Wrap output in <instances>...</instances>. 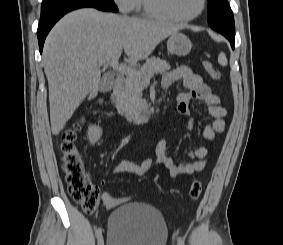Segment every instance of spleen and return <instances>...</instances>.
Here are the masks:
<instances>
[{"mask_svg":"<svg viewBox=\"0 0 283 245\" xmlns=\"http://www.w3.org/2000/svg\"><path fill=\"white\" fill-rule=\"evenodd\" d=\"M218 62L222 66H226L228 63V60L226 58V55L224 53H220L218 56Z\"/></svg>","mask_w":283,"mask_h":245,"instance_id":"spleen-1","label":"spleen"}]
</instances>
